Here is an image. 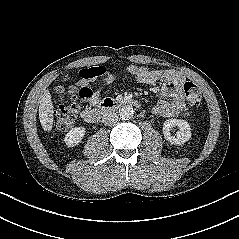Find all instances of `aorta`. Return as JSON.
<instances>
[{
  "mask_svg": "<svg viewBox=\"0 0 239 239\" xmlns=\"http://www.w3.org/2000/svg\"><path fill=\"white\" fill-rule=\"evenodd\" d=\"M120 118L123 120L131 119L134 115L133 107L130 105H124L119 109Z\"/></svg>",
  "mask_w": 239,
  "mask_h": 239,
  "instance_id": "aorta-1",
  "label": "aorta"
}]
</instances>
